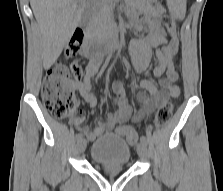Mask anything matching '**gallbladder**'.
<instances>
[{
    "label": "gallbladder",
    "instance_id": "1",
    "mask_svg": "<svg viewBox=\"0 0 223 191\" xmlns=\"http://www.w3.org/2000/svg\"><path fill=\"white\" fill-rule=\"evenodd\" d=\"M87 17H88V11L85 10V11L83 12V14H82V18H81V22H80V24H85Z\"/></svg>",
    "mask_w": 223,
    "mask_h": 191
}]
</instances>
